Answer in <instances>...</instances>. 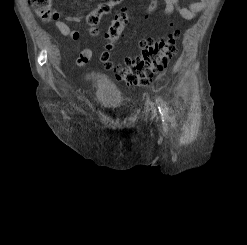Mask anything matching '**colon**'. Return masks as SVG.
Masks as SVG:
<instances>
[{
    "label": "colon",
    "instance_id": "5ec220e1",
    "mask_svg": "<svg viewBox=\"0 0 247 245\" xmlns=\"http://www.w3.org/2000/svg\"><path fill=\"white\" fill-rule=\"evenodd\" d=\"M121 0H110L99 4L86 16V22L92 34L97 33V26L101 18L108 14ZM35 13L43 20L52 17V0H29ZM179 37L177 30L160 38H147L140 42L141 54L137 57H126L125 66H116L111 60L109 51L113 42L117 40V32L108 30L106 38L108 43L101 61L106 69L114 70L116 77L131 86L147 85L152 77L165 69L170 59L176 54V42Z\"/></svg>",
    "mask_w": 247,
    "mask_h": 245
}]
</instances>
